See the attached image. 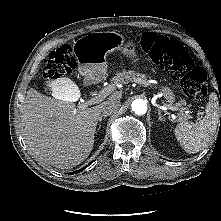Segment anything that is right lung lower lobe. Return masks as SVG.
Instances as JSON below:
<instances>
[{
  "instance_id": "obj_1",
  "label": "right lung lower lobe",
  "mask_w": 221,
  "mask_h": 221,
  "mask_svg": "<svg viewBox=\"0 0 221 221\" xmlns=\"http://www.w3.org/2000/svg\"><path fill=\"white\" fill-rule=\"evenodd\" d=\"M90 165V164H89ZM87 167V166H86ZM86 167L80 169V170H77L76 172H72V173H68V174H75V173H78V172H81L83 169H85Z\"/></svg>"
}]
</instances>
